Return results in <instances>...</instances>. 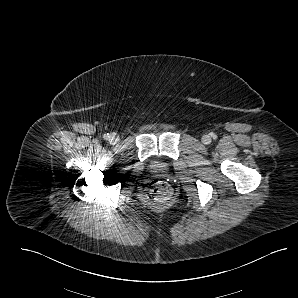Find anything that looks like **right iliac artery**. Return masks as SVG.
I'll list each match as a JSON object with an SVG mask.
<instances>
[{
	"label": "right iliac artery",
	"mask_w": 298,
	"mask_h": 298,
	"mask_svg": "<svg viewBox=\"0 0 298 298\" xmlns=\"http://www.w3.org/2000/svg\"><path fill=\"white\" fill-rule=\"evenodd\" d=\"M103 138L104 139H108L109 138V134H104Z\"/></svg>",
	"instance_id": "obj_1"
}]
</instances>
